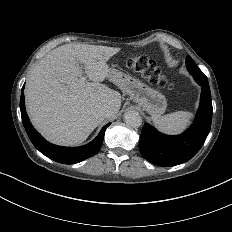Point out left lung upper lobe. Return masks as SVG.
Masks as SVG:
<instances>
[{
  "label": "left lung upper lobe",
  "instance_id": "left-lung-upper-lobe-1",
  "mask_svg": "<svg viewBox=\"0 0 232 232\" xmlns=\"http://www.w3.org/2000/svg\"><path fill=\"white\" fill-rule=\"evenodd\" d=\"M186 66L189 73L197 82L208 83L206 75L199 69L190 56L186 57Z\"/></svg>",
  "mask_w": 232,
  "mask_h": 232
}]
</instances>
